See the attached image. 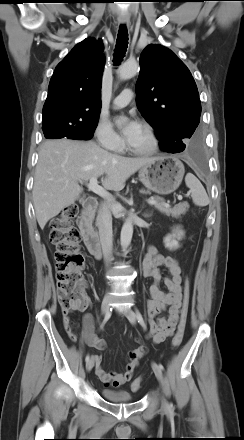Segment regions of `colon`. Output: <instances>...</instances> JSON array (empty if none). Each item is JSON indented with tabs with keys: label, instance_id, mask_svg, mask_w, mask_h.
<instances>
[{
	"label": "colon",
	"instance_id": "obj_1",
	"mask_svg": "<svg viewBox=\"0 0 244 440\" xmlns=\"http://www.w3.org/2000/svg\"><path fill=\"white\" fill-rule=\"evenodd\" d=\"M78 213V206H66L58 216L50 222L49 238L56 247L55 260L57 270V297L64 317H69L87 307L84 270L85 255L79 246L80 236L74 227V219ZM191 283L188 276L184 279L183 299L181 302L180 321L172 340L174 348L182 343L190 302ZM145 349L141 351L144 354ZM142 378H136L131 389H139ZM107 385L117 387V382Z\"/></svg>",
	"mask_w": 244,
	"mask_h": 440
}]
</instances>
